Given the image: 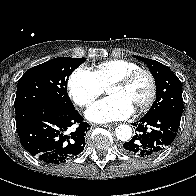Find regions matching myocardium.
<instances>
[{
    "mask_svg": "<svg viewBox=\"0 0 196 196\" xmlns=\"http://www.w3.org/2000/svg\"><path fill=\"white\" fill-rule=\"evenodd\" d=\"M140 76H146L150 83V93L148 98L143 102L140 106L136 108L137 112H144L148 110L154 103L156 96H157V80L154 74L146 69H138L131 73H128L116 80H114L108 87L119 86V87H126L130 85L134 80L139 78Z\"/></svg>",
    "mask_w": 196,
    "mask_h": 196,
    "instance_id": "1",
    "label": "myocardium"
}]
</instances>
